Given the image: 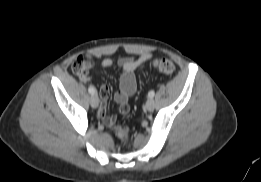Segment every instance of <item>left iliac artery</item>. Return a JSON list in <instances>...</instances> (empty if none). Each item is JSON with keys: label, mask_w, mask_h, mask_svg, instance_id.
Here are the masks:
<instances>
[{"label": "left iliac artery", "mask_w": 261, "mask_h": 182, "mask_svg": "<svg viewBox=\"0 0 261 182\" xmlns=\"http://www.w3.org/2000/svg\"><path fill=\"white\" fill-rule=\"evenodd\" d=\"M154 95H155V92H154L153 90H151V91L148 93V96H149L150 98H153Z\"/></svg>", "instance_id": "obj_1"}]
</instances>
